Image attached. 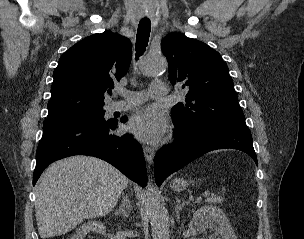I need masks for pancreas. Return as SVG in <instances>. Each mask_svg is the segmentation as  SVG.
Listing matches in <instances>:
<instances>
[{"instance_id":"cf45deb5","label":"pancreas","mask_w":304,"mask_h":239,"mask_svg":"<svg viewBox=\"0 0 304 239\" xmlns=\"http://www.w3.org/2000/svg\"><path fill=\"white\" fill-rule=\"evenodd\" d=\"M207 201L210 203L218 204V203H222L223 199L217 196H210L207 198Z\"/></svg>"}]
</instances>
